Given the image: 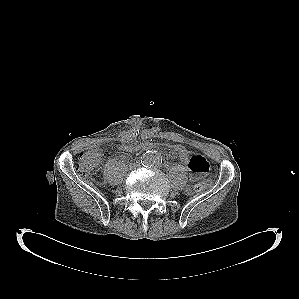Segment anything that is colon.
Masks as SVG:
<instances>
[{
  "instance_id": "1",
  "label": "colon",
  "mask_w": 299,
  "mask_h": 299,
  "mask_svg": "<svg viewBox=\"0 0 299 299\" xmlns=\"http://www.w3.org/2000/svg\"><path fill=\"white\" fill-rule=\"evenodd\" d=\"M125 145V142L122 141L119 144V148ZM155 145L150 141H143L139 144H135V148L138 151L144 150L151 146ZM165 147L172 150L183 162L186 161L189 157V152L184 146L180 144H164ZM99 161V152L96 150L83 151L78 156L77 161V170L83 175H90L95 172ZM211 185V179L205 178L195 186V190L198 192L204 191L209 188Z\"/></svg>"
}]
</instances>
